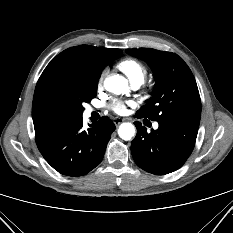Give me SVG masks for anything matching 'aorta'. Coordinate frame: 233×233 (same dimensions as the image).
Segmentation results:
<instances>
[{"label": "aorta", "instance_id": "762f6f07", "mask_svg": "<svg viewBox=\"0 0 233 233\" xmlns=\"http://www.w3.org/2000/svg\"><path fill=\"white\" fill-rule=\"evenodd\" d=\"M104 87L106 90L114 94H125L128 93V81L120 75H113L108 77L104 81ZM118 134L123 140H131L135 134V128L131 123H122L119 126Z\"/></svg>", "mask_w": 233, "mask_h": 233}]
</instances>
